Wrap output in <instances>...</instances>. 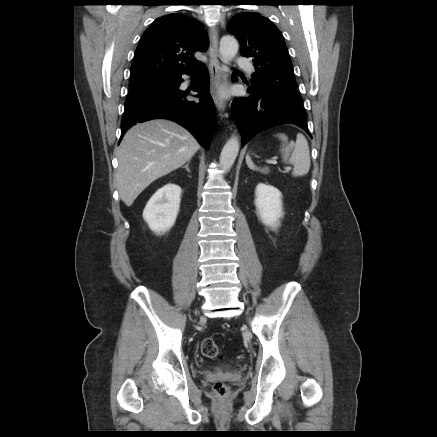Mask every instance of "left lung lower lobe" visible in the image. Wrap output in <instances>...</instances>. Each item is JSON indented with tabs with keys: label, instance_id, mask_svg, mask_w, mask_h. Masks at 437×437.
<instances>
[{
	"label": "left lung lower lobe",
	"instance_id": "left-lung-lower-lobe-1",
	"mask_svg": "<svg viewBox=\"0 0 437 437\" xmlns=\"http://www.w3.org/2000/svg\"><path fill=\"white\" fill-rule=\"evenodd\" d=\"M235 81L237 78L232 76ZM247 98H239L232 103V114L242 135L244 146L258 132L283 123H293L304 129L310 136L304 108L297 98L252 85Z\"/></svg>",
	"mask_w": 437,
	"mask_h": 437
}]
</instances>
